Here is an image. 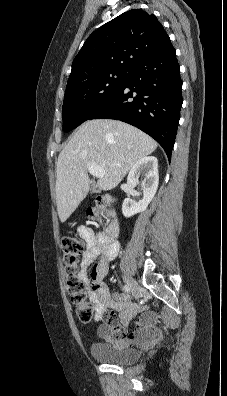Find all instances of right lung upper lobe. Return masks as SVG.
Returning a JSON list of instances; mask_svg holds the SVG:
<instances>
[{"mask_svg": "<svg viewBox=\"0 0 227 396\" xmlns=\"http://www.w3.org/2000/svg\"><path fill=\"white\" fill-rule=\"evenodd\" d=\"M169 42L155 15L141 9L129 10L88 37L73 61L67 87L106 72L130 71Z\"/></svg>", "mask_w": 227, "mask_h": 396, "instance_id": "right-lung-upper-lobe-1", "label": "right lung upper lobe"}]
</instances>
